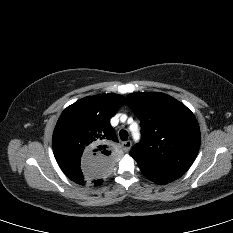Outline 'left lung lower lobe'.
Returning a JSON list of instances; mask_svg holds the SVG:
<instances>
[{
  "mask_svg": "<svg viewBox=\"0 0 233 233\" xmlns=\"http://www.w3.org/2000/svg\"><path fill=\"white\" fill-rule=\"evenodd\" d=\"M142 173L151 181L157 184H166L184 174V171L178 170H161L139 165Z\"/></svg>",
  "mask_w": 233,
  "mask_h": 233,
  "instance_id": "1",
  "label": "left lung lower lobe"
}]
</instances>
